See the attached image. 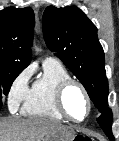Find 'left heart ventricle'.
Here are the masks:
<instances>
[{
    "label": "left heart ventricle",
    "mask_w": 119,
    "mask_h": 141,
    "mask_svg": "<svg viewBox=\"0 0 119 141\" xmlns=\"http://www.w3.org/2000/svg\"><path fill=\"white\" fill-rule=\"evenodd\" d=\"M64 104L69 115L74 119H82L87 113V102L82 91L76 87H70L64 98Z\"/></svg>",
    "instance_id": "left-heart-ventricle-1"
}]
</instances>
